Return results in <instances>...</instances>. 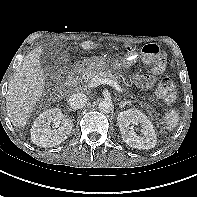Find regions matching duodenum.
Segmentation results:
<instances>
[{
    "mask_svg": "<svg viewBox=\"0 0 197 197\" xmlns=\"http://www.w3.org/2000/svg\"><path fill=\"white\" fill-rule=\"evenodd\" d=\"M81 73H82V68L81 67L77 66L73 69V71L71 72V74L69 76V80H68V84H67L68 88L77 84V82L79 81Z\"/></svg>",
    "mask_w": 197,
    "mask_h": 197,
    "instance_id": "410a0bca",
    "label": "duodenum"
}]
</instances>
